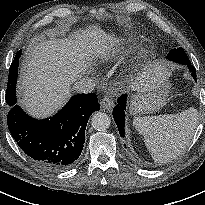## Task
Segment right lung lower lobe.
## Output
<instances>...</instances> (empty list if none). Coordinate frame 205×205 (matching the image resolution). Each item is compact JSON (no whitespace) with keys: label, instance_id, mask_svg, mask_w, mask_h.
<instances>
[{"label":"right lung lower lobe","instance_id":"1","mask_svg":"<svg viewBox=\"0 0 205 205\" xmlns=\"http://www.w3.org/2000/svg\"><path fill=\"white\" fill-rule=\"evenodd\" d=\"M96 95L78 94L53 117L36 120L13 105L7 116L8 128L18 146L47 170L72 167L80 156L90 115L98 111Z\"/></svg>","mask_w":205,"mask_h":205}]
</instances>
